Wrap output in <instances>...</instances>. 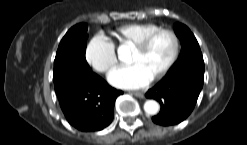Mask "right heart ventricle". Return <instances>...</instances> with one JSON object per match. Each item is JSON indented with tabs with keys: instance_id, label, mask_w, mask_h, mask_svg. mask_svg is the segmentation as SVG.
Wrapping results in <instances>:
<instances>
[{
	"instance_id": "e07e8e85",
	"label": "right heart ventricle",
	"mask_w": 247,
	"mask_h": 145,
	"mask_svg": "<svg viewBox=\"0 0 247 145\" xmlns=\"http://www.w3.org/2000/svg\"><path fill=\"white\" fill-rule=\"evenodd\" d=\"M159 29L152 23H128L117 27L111 32L119 45H135L151 32Z\"/></svg>"
}]
</instances>
